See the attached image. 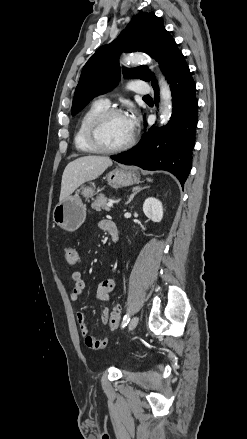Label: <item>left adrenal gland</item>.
Returning <instances> with one entry per match:
<instances>
[{"label":"left adrenal gland","instance_id":"1","mask_svg":"<svg viewBox=\"0 0 247 439\" xmlns=\"http://www.w3.org/2000/svg\"><path fill=\"white\" fill-rule=\"evenodd\" d=\"M147 188H149V187H148V186H145V187H141V186L133 187V189H132V193H131L130 196L128 197V200H127V202H126L125 204H129V203L133 200L134 196H135L137 193H139L140 191H142V190H144V189H147Z\"/></svg>","mask_w":247,"mask_h":439}]
</instances>
